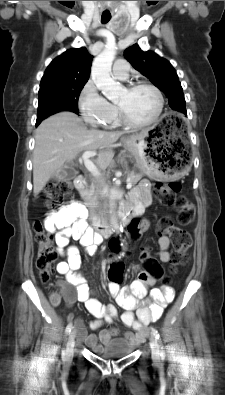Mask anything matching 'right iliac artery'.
<instances>
[{
    "instance_id": "1",
    "label": "right iliac artery",
    "mask_w": 225,
    "mask_h": 395,
    "mask_svg": "<svg viewBox=\"0 0 225 395\" xmlns=\"http://www.w3.org/2000/svg\"><path fill=\"white\" fill-rule=\"evenodd\" d=\"M72 323H69L66 327L65 334L68 335L72 330Z\"/></svg>"
}]
</instances>
